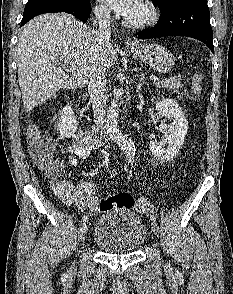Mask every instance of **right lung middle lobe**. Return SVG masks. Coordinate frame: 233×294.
Here are the masks:
<instances>
[{
	"instance_id": "dd1d6c3e",
	"label": "right lung middle lobe",
	"mask_w": 233,
	"mask_h": 294,
	"mask_svg": "<svg viewBox=\"0 0 233 294\" xmlns=\"http://www.w3.org/2000/svg\"><path fill=\"white\" fill-rule=\"evenodd\" d=\"M86 1L90 0H28L22 22L26 23L39 14L69 10Z\"/></svg>"
}]
</instances>
